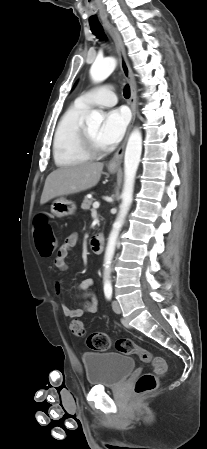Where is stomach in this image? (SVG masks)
<instances>
[{
    "label": "stomach",
    "instance_id": "1",
    "mask_svg": "<svg viewBox=\"0 0 207 449\" xmlns=\"http://www.w3.org/2000/svg\"><path fill=\"white\" fill-rule=\"evenodd\" d=\"M110 173H116L118 169H108ZM76 205L74 202L67 200L66 198L56 199L51 205V212L54 216L62 218L74 214Z\"/></svg>",
    "mask_w": 207,
    "mask_h": 449
}]
</instances>
